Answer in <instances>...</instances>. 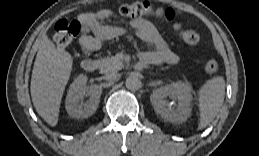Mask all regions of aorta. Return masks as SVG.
I'll use <instances>...</instances> for the list:
<instances>
[{
	"mask_svg": "<svg viewBox=\"0 0 259 156\" xmlns=\"http://www.w3.org/2000/svg\"><path fill=\"white\" fill-rule=\"evenodd\" d=\"M126 88L131 91H136L140 88L141 82L137 77L130 76L125 82Z\"/></svg>",
	"mask_w": 259,
	"mask_h": 156,
	"instance_id": "obj_1",
	"label": "aorta"
}]
</instances>
